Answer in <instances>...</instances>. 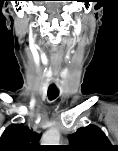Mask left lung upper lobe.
I'll return each instance as SVG.
<instances>
[{
    "mask_svg": "<svg viewBox=\"0 0 118 151\" xmlns=\"http://www.w3.org/2000/svg\"><path fill=\"white\" fill-rule=\"evenodd\" d=\"M68 137L69 148L73 151H105L112 148L105 133L95 125L79 128Z\"/></svg>",
    "mask_w": 118,
    "mask_h": 151,
    "instance_id": "5c2ea615",
    "label": "left lung upper lobe"
}]
</instances>
